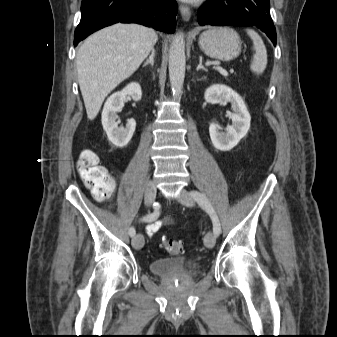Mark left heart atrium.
<instances>
[{"label":"left heart atrium","mask_w":337,"mask_h":337,"mask_svg":"<svg viewBox=\"0 0 337 337\" xmlns=\"http://www.w3.org/2000/svg\"><path fill=\"white\" fill-rule=\"evenodd\" d=\"M186 1H194V0H186Z\"/></svg>","instance_id":"1"}]
</instances>
